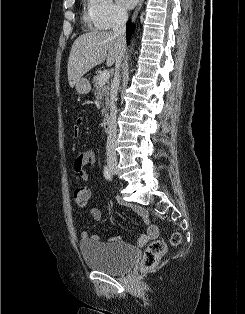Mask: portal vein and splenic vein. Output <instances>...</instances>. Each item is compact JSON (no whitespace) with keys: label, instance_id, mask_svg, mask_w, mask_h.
Wrapping results in <instances>:
<instances>
[{"label":"portal vein and splenic vein","instance_id":"portal-vein-and-splenic-vein-1","mask_svg":"<svg viewBox=\"0 0 245 314\" xmlns=\"http://www.w3.org/2000/svg\"><path fill=\"white\" fill-rule=\"evenodd\" d=\"M109 77H110V72L105 70L103 71V73L100 75L98 81H99V84H105L108 82L109 80Z\"/></svg>","mask_w":245,"mask_h":314}]
</instances>
